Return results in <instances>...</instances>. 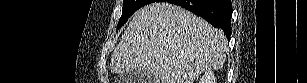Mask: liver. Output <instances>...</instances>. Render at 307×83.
<instances>
[{
  "label": "liver",
  "instance_id": "liver-1",
  "mask_svg": "<svg viewBox=\"0 0 307 83\" xmlns=\"http://www.w3.org/2000/svg\"><path fill=\"white\" fill-rule=\"evenodd\" d=\"M228 41L222 30L184 8L155 2L139 9L115 48L110 68L125 74L145 69L152 83H194L224 65Z\"/></svg>",
  "mask_w": 307,
  "mask_h": 83
}]
</instances>
